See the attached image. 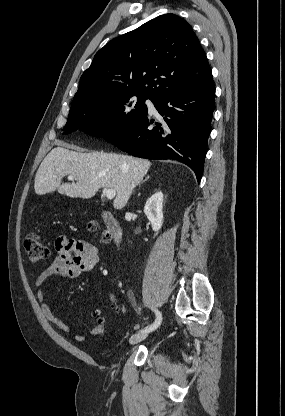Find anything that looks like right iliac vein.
<instances>
[{
  "instance_id": "1",
  "label": "right iliac vein",
  "mask_w": 285,
  "mask_h": 416,
  "mask_svg": "<svg viewBox=\"0 0 285 416\" xmlns=\"http://www.w3.org/2000/svg\"><path fill=\"white\" fill-rule=\"evenodd\" d=\"M149 331H141L138 333H135L134 335H132L129 339V343L130 344H137L141 341H143L147 335H148Z\"/></svg>"
}]
</instances>
